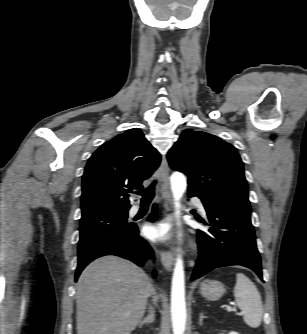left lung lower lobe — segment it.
<instances>
[{
	"instance_id": "obj_1",
	"label": "left lung lower lobe",
	"mask_w": 307,
	"mask_h": 334,
	"mask_svg": "<svg viewBox=\"0 0 307 334\" xmlns=\"http://www.w3.org/2000/svg\"><path fill=\"white\" fill-rule=\"evenodd\" d=\"M195 194L189 193V197ZM204 204L211 228L197 231L199 257L191 280L224 266L241 265L262 279L261 258L250 213L224 206Z\"/></svg>"
}]
</instances>
